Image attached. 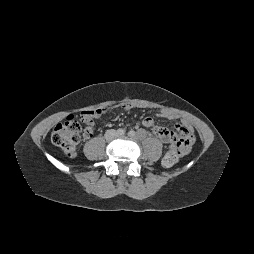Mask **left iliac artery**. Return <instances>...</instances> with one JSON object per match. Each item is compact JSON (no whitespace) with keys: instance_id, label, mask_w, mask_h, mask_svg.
<instances>
[{"instance_id":"44dca946","label":"left iliac artery","mask_w":254,"mask_h":254,"mask_svg":"<svg viewBox=\"0 0 254 254\" xmlns=\"http://www.w3.org/2000/svg\"><path fill=\"white\" fill-rule=\"evenodd\" d=\"M128 134H129V136H131V137H135V136H136V132L133 131V130L129 131Z\"/></svg>"}]
</instances>
